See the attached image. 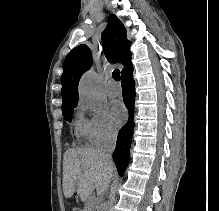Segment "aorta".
<instances>
[{
	"instance_id": "1",
	"label": "aorta",
	"mask_w": 219,
	"mask_h": 211,
	"mask_svg": "<svg viewBox=\"0 0 219 211\" xmlns=\"http://www.w3.org/2000/svg\"><path fill=\"white\" fill-rule=\"evenodd\" d=\"M80 98L90 107L96 108L102 100V92L97 83V75L91 70L85 73L79 82ZM109 202L104 201L100 204L98 211H108Z\"/></svg>"
}]
</instances>
